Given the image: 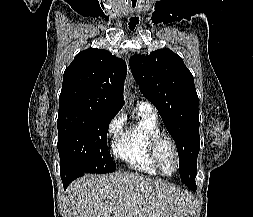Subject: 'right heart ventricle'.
Instances as JSON below:
<instances>
[{"label": "right heart ventricle", "mask_w": 253, "mask_h": 217, "mask_svg": "<svg viewBox=\"0 0 253 217\" xmlns=\"http://www.w3.org/2000/svg\"><path fill=\"white\" fill-rule=\"evenodd\" d=\"M136 122L128 126L118 137L114 153L128 166L148 175H159L149 154L150 140L160 133L157 115L137 107Z\"/></svg>", "instance_id": "1"}]
</instances>
